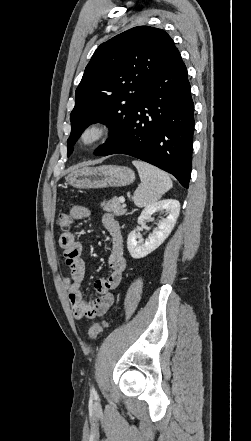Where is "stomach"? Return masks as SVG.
Returning a JSON list of instances; mask_svg holds the SVG:
<instances>
[{"label":"stomach","instance_id":"obj_1","mask_svg":"<svg viewBox=\"0 0 251 441\" xmlns=\"http://www.w3.org/2000/svg\"><path fill=\"white\" fill-rule=\"evenodd\" d=\"M135 179L134 172L125 166L101 165L82 167L67 176V182L77 189H99L122 187L131 184Z\"/></svg>","mask_w":251,"mask_h":441}]
</instances>
